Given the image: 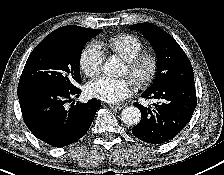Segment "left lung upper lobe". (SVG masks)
<instances>
[{
    "mask_svg": "<svg viewBox=\"0 0 224 175\" xmlns=\"http://www.w3.org/2000/svg\"><path fill=\"white\" fill-rule=\"evenodd\" d=\"M130 28L141 31L157 55V75L149 89L181 78H194L191 63L179 44L167 32L151 23H139Z\"/></svg>",
    "mask_w": 224,
    "mask_h": 175,
    "instance_id": "1",
    "label": "left lung upper lobe"
}]
</instances>
